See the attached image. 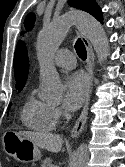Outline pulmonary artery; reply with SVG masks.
<instances>
[{
  "mask_svg": "<svg viewBox=\"0 0 125 167\" xmlns=\"http://www.w3.org/2000/svg\"><path fill=\"white\" fill-rule=\"evenodd\" d=\"M54 64L62 69H73L75 67V57L67 49L59 50L54 56Z\"/></svg>",
  "mask_w": 125,
  "mask_h": 167,
  "instance_id": "e3ab8cb5",
  "label": "pulmonary artery"
}]
</instances>
